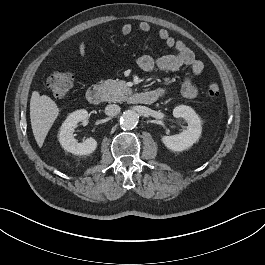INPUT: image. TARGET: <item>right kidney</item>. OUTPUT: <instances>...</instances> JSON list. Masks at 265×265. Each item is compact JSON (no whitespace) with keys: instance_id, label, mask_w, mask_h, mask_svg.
Instances as JSON below:
<instances>
[{"instance_id":"1","label":"right kidney","mask_w":265,"mask_h":265,"mask_svg":"<svg viewBox=\"0 0 265 265\" xmlns=\"http://www.w3.org/2000/svg\"><path fill=\"white\" fill-rule=\"evenodd\" d=\"M88 112L86 110H77L71 113L60 128L58 140L64 150L76 155H89L93 153L97 147V142L93 138H88L79 143L74 138V129L80 121L86 120Z\"/></svg>"}]
</instances>
